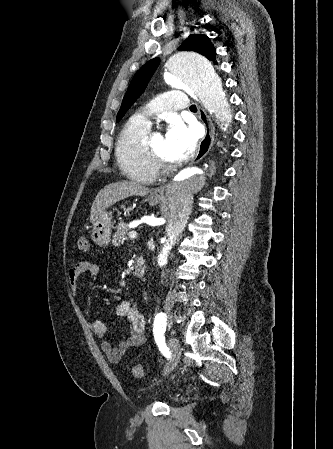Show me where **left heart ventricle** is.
Instances as JSON below:
<instances>
[{
    "label": "left heart ventricle",
    "instance_id": "1",
    "mask_svg": "<svg viewBox=\"0 0 333 449\" xmlns=\"http://www.w3.org/2000/svg\"><path fill=\"white\" fill-rule=\"evenodd\" d=\"M149 145L159 156L170 161L164 136L158 135L154 137Z\"/></svg>",
    "mask_w": 333,
    "mask_h": 449
}]
</instances>
